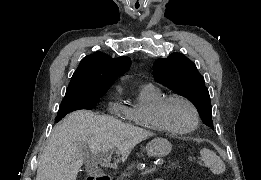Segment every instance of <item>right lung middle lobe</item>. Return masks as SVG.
Here are the masks:
<instances>
[{
    "label": "right lung middle lobe",
    "instance_id": "dd1d6c3e",
    "mask_svg": "<svg viewBox=\"0 0 261 180\" xmlns=\"http://www.w3.org/2000/svg\"><path fill=\"white\" fill-rule=\"evenodd\" d=\"M106 92H92L82 90H67L56 116V122L60 121L68 113L87 109L91 110Z\"/></svg>",
    "mask_w": 261,
    "mask_h": 180
}]
</instances>
